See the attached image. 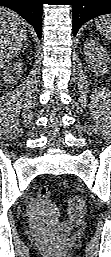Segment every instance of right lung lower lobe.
<instances>
[{"mask_svg":"<svg viewBox=\"0 0 111 257\" xmlns=\"http://www.w3.org/2000/svg\"><path fill=\"white\" fill-rule=\"evenodd\" d=\"M42 4L43 0H0L1 6L14 10L27 20L39 38L42 34Z\"/></svg>","mask_w":111,"mask_h":257,"instance_id":"obj_1","label":"right lung lower lobe"}]
</instances>
